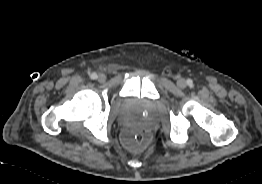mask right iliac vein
<instances>
[{"label":"right iliac vein","instance_id":"1","mask_svg":"<svg viewBox=\"0 0 262 184\" xmlns=\"http://www.w3.org/2000/svg\"><path fill=\"white\" fill-rule=\"evenodd\" d=\"M106 80V76H105V74H103V73H101V74H99L98 75V81L99 82H104Z\"/></svg>","mask_w":262,"mask_h":184}]
</instances>
